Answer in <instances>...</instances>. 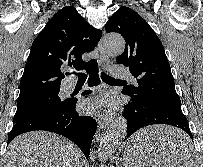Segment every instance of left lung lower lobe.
Listing matches in <instances>:
<instances>
[{
  "label": "left lung lower lobe",
  "instance_id": "left-lung-lower-lobe-1",
  "mask_svg": "<svg viewBox=\"0 0 203 167\" xmlns=\"http://www.w3.org/2000/svg\"><path fill=\"white\" fill-rule=\"evenodd\" d=\"M124 115L127 120V138L142 127L153 124H167L184 130L192 138L186 116L181 110V101H166L153 104L149 101L132 100L124 106ZM157 140L139 142L142 148H151L157 145ZM181 148H190V138L180 144Z\"/></svg>",
  "mask_w": 203,
  "mask_h": 167
}]
</instances>
